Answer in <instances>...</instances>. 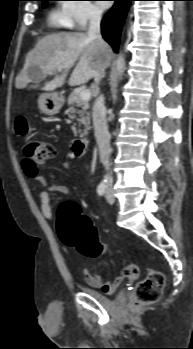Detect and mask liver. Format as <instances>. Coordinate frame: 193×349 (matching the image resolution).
Masks as SVG:
<instances>
[{
    "label": "liver",
    "mask_w": 193,
    "mask_h": 349,
    "mask_svg": "<svg viewBox=\"0 0 193 349\" xmlns=\"http://www.w3.org/2000/svg\"><path fill=\"white\" fill-rule=\"evenodd\" d=\"M111 55L112 49L106 42L100 43L83 32L47 35L27 54L24 68L16 78V87L24 88L32 81L29 69L34 67L40 69L43 76L63 71L60 76L45 83L42 88L44 91H54L61 87L73 66L75 68L69 79L70 86L84 84L92 78L98 82L110 65Z\"/></svg>",
    "instance_id": "obj_1"
}]
</instances>
